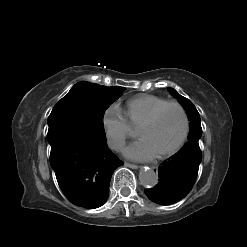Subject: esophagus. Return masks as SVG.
<instances>
[{
  "label": "esophagus",
  "mask_w": 247,
  "mask_h": 247,
  "mask_svg": "<svg viewBox=\"0 0 247 247\" xmlns=\"http://www.w3.org/2000/svg\"><path fill=\"white\" fill-rule=\"evenodd\" d=\"M125 166L129 167V168H132V169H138L139 166L136 165V164H131V163H128V162H125Z\"/></svg>",
  "instance_id": "34e87169"
}]
</instances>
